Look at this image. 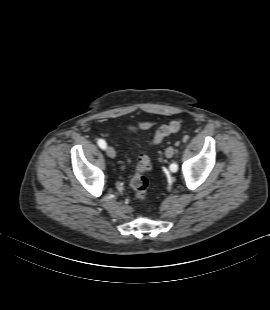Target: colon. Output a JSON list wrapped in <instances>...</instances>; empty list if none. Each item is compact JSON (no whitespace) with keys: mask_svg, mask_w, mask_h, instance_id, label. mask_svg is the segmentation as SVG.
<instances>
[{"mask_svg":"<svg viewBox=\"0 0 270 310\" xmlns=\"http://www.w3.org/2000/svg\"><path fill=\"white\" fill-rule=\"evenodd\" d=\"M181 120H173L160 127L153 138V143L158 144L167 136L180 130ZM151 169V162L147 155H140L137 159L136 172L131 179V187L134 190L135 197L140 202L147 200L149 181L146 173Z\"/></svg>","mask_w":270,"mask_h":310,"instance_id":"colon-1","label":"colon"}]
</instances>
